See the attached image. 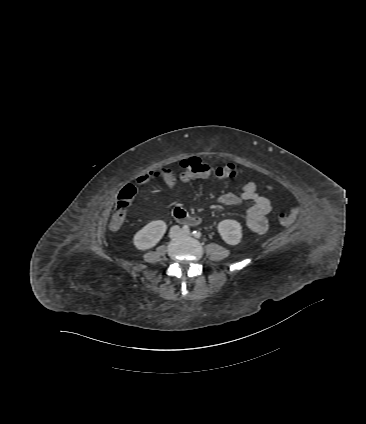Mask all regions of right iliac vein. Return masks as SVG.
<instances>
[{
	"label": "right iliac vein",
	"mask_w": 366,
	"mask_h": 424,
	"mask_svg": "<svg viewBox=\"0 0 366 424\" xmlns=\"http://www.w3.org/2000/svg\"><path fill=\"white\" fill-rule=\"evenodd\" d=\"M171 235H172V236H178V235H180V231H179V229H175V230L171 233Z\"/></svg>",
	"instance_id": "63e3f726"
}]
</instances>
